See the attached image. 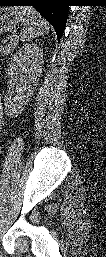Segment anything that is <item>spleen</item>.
Segmentation results:
<instances>
[{
    "label": "spleen",
    "instance_id": "3e777b00",
    "mask_svg": "<svg viewBox=\"0 0 106 257\" xmlns=\"http://www.w3.org/2000/svg\"><path fill=\"white\" fill-rule=\"evenodd\" d=\"M17 10L20 21L23 23L20 33L23 41H31L48 32L47 22L33 7H20Z\"/></svg>",
    "mask_w": 106,
    "mask_h": 257
}]
</instances>
